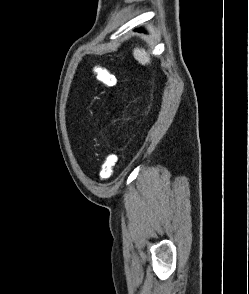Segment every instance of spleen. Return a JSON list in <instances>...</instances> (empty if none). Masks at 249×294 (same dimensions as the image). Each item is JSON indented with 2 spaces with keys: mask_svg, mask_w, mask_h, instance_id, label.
Returning a JSON list of instances; mask_svg holds the SVG:
<instances>
[{
  "mask_svg": "<svg viewBox=\"0 0 249 294\" xmlns=\"http://www.w3.org/2000/svg\"><path fill=\"white\" fill-rule=\"evenodd\" d=\"M134 58L142 65H146L150 63V57L147 51L144 48L136 47L133 50Z\"/></svg>",
  "mask_w": 249,
  "mask_h": 294,
  "instance_id": "3e777b00",
  "label": "spleen"
}]
</instances>
